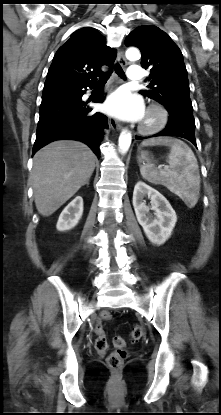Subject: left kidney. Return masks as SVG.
<instances>
[{"label": "left kidney", "instance_id": "1", "mask_svg": "<svg viewBox=\"0 0 221 415\" xmlns=\"http://www.w3.org/2000/svg\"><path fill=\"white\" fill-rule=\"evenodd\" d=\"M151 200L155 217L149 213L144 197ZM133 207L139 224L147 238L155 245H162L171 236L177 222V216L168 200L157 190L139 181L133 192Z\"/></svg>", "mask_w": 221, "mask_h": 415}]
</instances>
